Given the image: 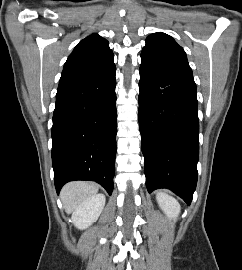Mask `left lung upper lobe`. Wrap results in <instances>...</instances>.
I'll list each match as a JSON object with an SVG mask.
<instances>
[{
    "label": "left lung upper lobe",
    "instance_id": "1",
    "mask_svg": "<svg viewBox=\"0 0 242 270\" xmlns=\"http://www.w3.org/2000/svg\"><path fill=\"white\" fill-rule=\"evenodd\" d=\"M141 59L148 63L171 66L192 73L183 48L165 33H154L146 38Z\"/></svg>",
    "mask_w": 242,
    "mask_h": 270
}]
</instances>
